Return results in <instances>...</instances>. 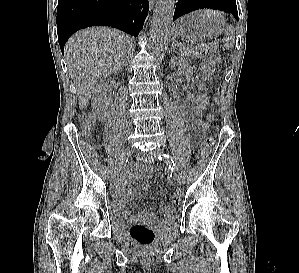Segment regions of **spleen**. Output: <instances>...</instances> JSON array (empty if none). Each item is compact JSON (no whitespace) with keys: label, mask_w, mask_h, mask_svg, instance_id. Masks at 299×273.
<instances>
[{"label":"spleen","mask_w":299,"mask_h":273,"mask_svg":"<svg viewBox=\"0 0 299 273\" xmlns=\"http://www.w3.org/2000/svg\"><path fill=\"white\" fill-rule=\"evenodd\" d=\"M225 35L227 37L225 47L230 49L234 46L235 43V29L231 25H228L225 28Z\"/></svg>","instance_id":"obj_1"}]
</instances>
